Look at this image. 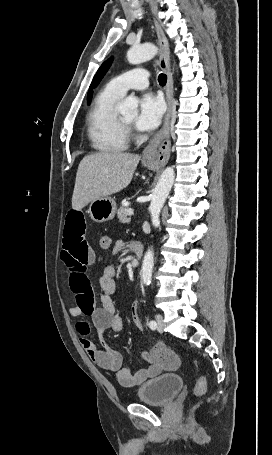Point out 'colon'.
Masks as SVG:
<instances>
[{"mask_svg": "<svg viewBox=\"0 0 272 455\" xmlns=\"http://www.w3.org/2000/svg\"><path fill=\"white\" fill-rule=\"evenodd\" d=\"M98 243L102 250H107L111 245V238L107 234H102ZM150 357L154 362L167 370H176L180 366L179 356L173 350L162 344H158L152 348ZM206 385V378L200 376L194 387L195 395H203L206 392Z\"/></svg>", "mask_w": 272, "mask_h": 455, "instance_id": "1", "label": "colon"}]
</instances>
